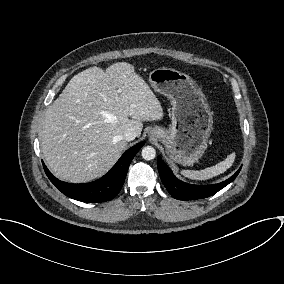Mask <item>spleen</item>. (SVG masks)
Returning <instances> with one entry per match:
<instances>
[{
  "mask_svg": "<svg viewBox=\"0 0 284 284\" xmlns=\"http://www.w3.org/2000/svg\"><path fill=\"white\" fill-rule=\"evenodd\" d=\"M235 160V152L231 153L227 158L216 164L215 166L205 168L203 170H182L181 174L193 180H207L225 172L230 168Z\"/></svg>",
  "mask_w": 284,
  "mask_h": 284,
  "instance_id": "obj_1",
  "label": "spleen"
}]
</instances>
